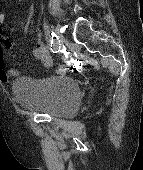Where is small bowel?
<instances>
[{
    "label": "small bowel",
    "mask_w": 143,
    "mask_h": 170,
    "mask_svg": "<svg viewBox=\"0 0 143 170\" xmlns=\"http://www.w3.org/2000/svg\"><path fill=\"white\" fill-rule=\"evenodd\" d=\"M5 18V14L0 12V81L3 83L9 82L11 77L18 75L15 69L6 68L3 60V44L8 42L3 36ZM33 56L42 63L43 67L49 68L52 66L53 59L41 40L36 42L33 49Z\"/></svg>",
    "instance_id": "small-bowel-1"
}]
</instances>
